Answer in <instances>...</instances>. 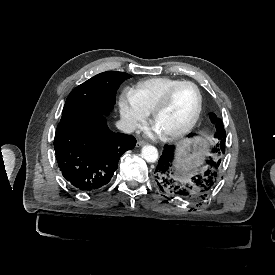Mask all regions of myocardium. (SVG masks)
<instances>
[{"label":"myocardium","mask_w":275,"mask_h":275,"mask_svg":"<svg viewBox=\"0 0 275 275\" xmlns=\"http://www.w3.org/2000/svg\"><path fill=\"white\" fill-rule=\"evenodd\" d=\"M182 84H190V85L194 86V88L196 90V93H197L198 102H197V107H196L194 115L192 116L190 121L184 127H182L179 130L168 132V133L164 134L165 136H167L169 138H172V139L177 138V137H181V136L187 134L189 131H191V129L197 123V121H198V119L201 115V112H202L203 96H202V92H201L199 86L191 80H180V81H177V82L173 83L165 91L162 98L160 99V101L155 106V108L152 112V123L154 124V120L157 117V115L167 107L174 90Z\"/></svg>","instance_id":"obj_1"}]
</instances>
